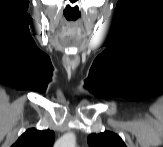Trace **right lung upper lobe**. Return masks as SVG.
Returning <instances> with one entry per match:
<instances>
[{"label": "right lung upper lobe", "mask_w": 163, "mask_h": 147, "mask_svg": "<svg viewBox=\"0 0 163 147\" xmlns=\"http://www.w3.org/2000/svg\"><path fill=\"white\" fill-rule=\"evenodd\" d=\"M55 134L53 131L28 129L24 132L12 147H51Z\"/></svg>", "instance_id": "1"}]
</instances>
